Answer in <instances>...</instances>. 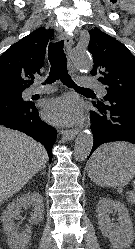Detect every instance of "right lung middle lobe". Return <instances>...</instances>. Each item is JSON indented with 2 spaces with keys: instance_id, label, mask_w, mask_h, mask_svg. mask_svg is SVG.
<instances>
[{
  "instance_id": "1",
  "label": "right lung middle lobe",
  "mask_w": 135,
  "mask_h": 249,
  "mask_svg": "<svg viewBox=\"0 0 135 249\" xmlns=\"http://www.w3.org/2000/svg\"><path fill=\"white\" fill-rule=\"evenodd\" d=\"M0 95H7V96H11V97L16 98V99L23 100L22 99V92H4V93H0Z\"/></svg>"
}]
</instances>
